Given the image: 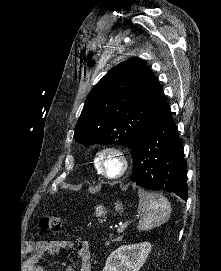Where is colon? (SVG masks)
<instances>
[{
	"label": "colon",
	"instance_id": "5ec220e1",
	"mask_svg": "<svg viewBox=\"0 0 221 271\" xmlns=\"http://www.w3.org/2000/svg\"><path fill=\"white\" fill-rule=\"evenodd\" d=\"M41 228L44 231H48L51 234H56L60 231L62 223L58 214L45 215L41 220Z\"/></svg>",
	"mask_w": 221,
	"mask_h": 271
}]
</instances>
